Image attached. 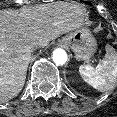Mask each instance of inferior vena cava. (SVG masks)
Returning <instances> with one entry per match:
<instances>
[{
    "instance_id": "602c4592",
    "label": "inferior vena cava",
    "mask_w": 117,
    "mask_h": 117,
    "mask_svg": "<svg viewBox=\"0 0 117 117\" xmlns=\"http://www.w3.org/2000/svg\"><path fill=\"white\" fill-rule=\"evenodd\" d=\"M29 52H30V54L35 55V54H37L38 49H37V47L32 46V47H30Z\"/></svg>"
}]
</instances>
